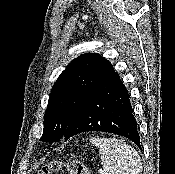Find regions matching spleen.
I'll return each mask as SVG.
<instances>
[{"label": "spleen", "mask_w": 175, "mask_h": 174, "mask_svg": "<svg viewBox=\"0 0 175 174\" xmlns=\"http://www.w3.org/2000/svg\"><path fill=\"white\" fill-rule=\"evenodd\" d=\"M99 148L104 174H141V159L137 151L122 139L91 138Z\"/></svg>", "instance_id": "obj_1"}]
</instances>
